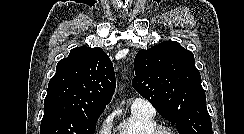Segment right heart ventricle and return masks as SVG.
<instances>
[{
	"label": "right heart ventricle",
	"instance_id": "e07e8e85",
	"mask_svg": "<svg viewBox=\"0 0 244 134\" xmlns=\"http://www.w3.org/2000/svg\"><path fill=\"white\" fill-rule=\"evenodd\" d=\"M156 125L154 115L132 110L130 117L116 127L114 134H148Z\"/></svg>",
	"mask_w": 244,
	"mask_h": 134
}]
</instances>
